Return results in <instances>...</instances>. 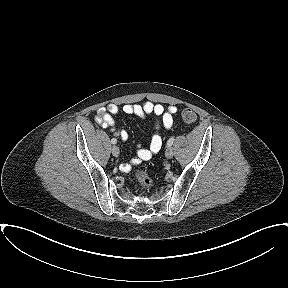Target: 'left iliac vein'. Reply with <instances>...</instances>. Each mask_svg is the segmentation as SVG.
<instances>
[{"instance_id": "1", "label": "left iliac vein", "mask_w": 288, "mask_h": 288, "mask_svg": "<svg viewBox=\"0 0 288 288\" xmlns=\"http://www.w3.org/2000/svg\"><path fill=\"white\" fill-rule=\"evenodd\" d=\"M173 148L171 146H168L167 149H166V152H165V155L168 159L172 158L173 157Z\"/></svg>"}]
</instances>
